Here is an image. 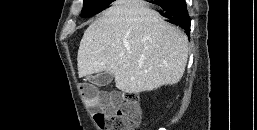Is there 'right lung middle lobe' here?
Wrapping results in <instances>:
<instances>
[{
    "label": "right lung middle lobe",
    "mask_w": 257,
    "mask_h": 130,
    "mask_svg": "<svg viewBox=\"0 0 257 130\" xmlns=\"http://www.w3.org/2000/svg\"><path fill=\"white\" fill-rule=\"evenodd\" d=\"M111 3V0H84L81 16L91 17L94 14L102 11Z\"/></svg>",
    "instance_id": "dd1d6c3e"
}]
</instances>
